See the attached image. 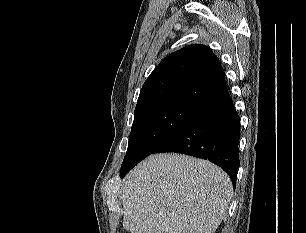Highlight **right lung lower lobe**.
I'll use <instances>...</instances> for the list:
<instances>
[{
	"instance_id": "98d812e1",
	"label": "right lung lower lobe",
	"mask_w": 306,
	"mask_h": 233,
	"mask_svg": "<svg viewBox=\"0 0 306 233\" xmlns=\"http://www.w3.org/2000/svg\"><path fill=\"white\" fill-rule=\"evenodd\" d=\"M240 119L229 94L202 107L152 153L176 152L207 159L232 179L239 169Z\"/></svg>"
}]
</instances>
